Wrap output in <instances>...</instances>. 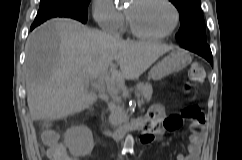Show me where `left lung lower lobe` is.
I'll return each mask as SVG.
<instances>
[{
	"label": "left lung lower lobe",
	"mask_w": 242,
	"mask_h": 160,
	"mask_svg": "<svg viewBox=\"0 0 242 160\" xmlns=\"http://www.w3.org/2000/svg\"><path fill=\"white\" fill-rule=\"evenodd\" d=\"M182 48L190 50L205 58L213 66V57L211 49L206 41H193L186 44H180Z\"/></svg>",
	"instance_id": "0a47b994"
}]
</instances>
